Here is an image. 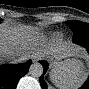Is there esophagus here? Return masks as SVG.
<instances>
[{"instance_id": "obj_1", "label": "esophagus", "mask_w": 89, "mask_h": 89, "mask_svg": "<svg viewBox=\"0 0 89 89\" xmlns=\"http://www.w3.org/2000/svg\"><path fill=\"white\" fill-rule=\"evenodd\" d=\"M33 60L37 61L38 60V56H33Z\"/></svg>"}]
</instances>
